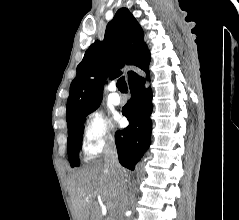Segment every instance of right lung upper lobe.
I'll use <instances>...</instances> for the list:
<instances>
[{
    "mask_svg": "<svg viewBox=\"0 0 239 220\" xmlns=\"http://www.w3.org/2000/svg\"><path fill=\"white\" fill-rule=\"evenodd\" d=\"M143 39V30L130 11L119 9L107 24L104 40L95 41L77 66L67 100L68 126L99 107L107 75L114 79L125 65L148 67L150 53ZM133 74L128 72V79Z\"/></svg>",
    "mask_w": 239,
    "mask_h": 220,
    "instance_id": "cb5924a9",
    "label": "right lung upper lobe"
}]
</instances>
